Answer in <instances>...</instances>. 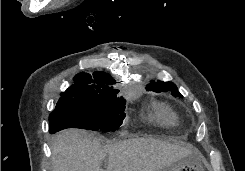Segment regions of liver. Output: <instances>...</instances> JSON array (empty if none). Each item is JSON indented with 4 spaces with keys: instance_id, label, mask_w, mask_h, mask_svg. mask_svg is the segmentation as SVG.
Here are the masks:
<instances>
[{
    "instance_id": "liver-1",
    "label": "liver",
    "mask_w": 245,
    "mask_h": 171,
    "mask_svg": "<svg viewBox=\"0 0 245 171\" xmlns=\"http://www.w3.org/2000/svg\"><path fill=\"white\" fill-rule=\"evenodd\" d=\"M52 171H103L101 163L108 156L106 171H160L196 153L153 138H136L101 146L90 132L67 129L60 132L51 146Z\"/></svg>"
}]
</instances>
